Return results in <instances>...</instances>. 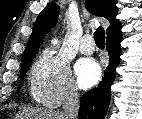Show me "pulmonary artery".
Returning a JSON list of instances; mask_svg holds the SVG:
<instances>
[{"instance_id": "obj_1", "label": "pulmonary artery", "mask_w": 142, "mask_h": 119, "mask_svg": "<svg viewBox=\"0 0 142 119\" xmlns=\"http://www.w3.org/2000/svg\"><path fill=\"white\" fill-rule=\"evenodd\" d=\"M79 49L81 53L85 55H90L94 52L95 45L91 35H86L83 37V39L80 42Z\"/></svg>"}]
</instances>
